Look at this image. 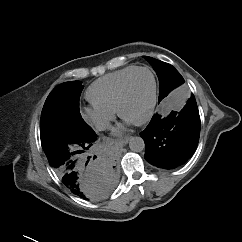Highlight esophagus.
Returning a JSON list of instances; mask_svg holds the SVG:
<instances>
[{"instance_id":"obj_1","label":"esophagus","mask_w":242,"mask_h":242,"mask_svg":"<svg viewBox=\"0 0 242 242\" xmlns=\"http://www.w3.org/2000/svg\"><path fill=\"white\" fill-rule=\"evenodd\" d=\"M129 140H130V137H126L125 139L119 140L118 141V145L120 147H123V146H125L129 142Z\"/></svg>"}]
</instances>
